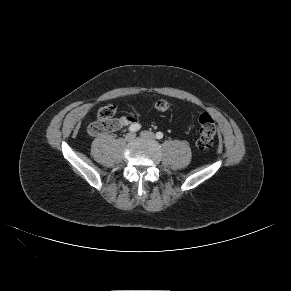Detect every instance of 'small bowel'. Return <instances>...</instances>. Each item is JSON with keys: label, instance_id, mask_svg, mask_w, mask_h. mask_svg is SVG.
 <instances>
[{"label": "small bowel", "instance_id": "small-bowel-1", "mask_svg": "<svg viewBox=\"0 0 291 291\" xmlns=\"http://www.w3.org/2000/svg\"><path fill=\"white\" fill-rule=\"evenodd\" d=\"M113 129L112 131H118L128 125L137 123V118L134 115H124L112 120Z\"/></svg>", "mask_w": 291, "mask_h": 291}]
</instances>
